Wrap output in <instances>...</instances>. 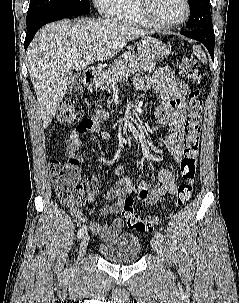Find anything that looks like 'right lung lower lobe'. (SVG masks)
<instances>
[{
	"label": "right lung lower lobe",
	"mask_w": 239,
	"mask_h": 303,
	"mask_svg": "<svg viewBox=\"0 0 239 303\" xmlns=\"http://www.w3.org/2000/svg\"><path fill=\"white\" fill-rule=\"evenodd\" d=\"M90 9H72V10H49L35 15L27 19V33L25 38V50L35 36L36 32L45 24L57 21L63 18L83 15L89 12Z\"/></svg>",
	"instance_id": "1"
}]
</instances>
